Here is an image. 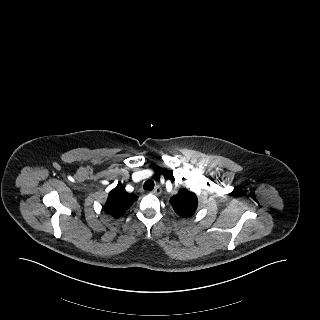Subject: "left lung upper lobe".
I'll use <instances>...</instances> for the list:
<instances>
[{
	"mask_svg": "<svg viewBox=\"0 0 320 320\" xmlns=\"http://www.w3.org/2000/svg\"><path fill=\"white\" fill-rule=\"evenodd\" d=\"M170 203L176 214L183 218L193 215L198 206L196 194L187 189H181L170 199Z\"/></svg>",
	"mask_w": 320,
	"mask_h": 320,
	"instance_id": "1",
	"label": "left lung upper lobe"
}]
</instances>
